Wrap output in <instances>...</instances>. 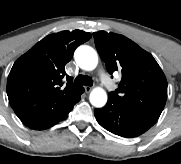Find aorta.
I'll list each match as a JSON object with an SVG mask.
<instances>
[{
	"mask_svg": "<svg viewBox=\"0 0 181 164\" xmlns=\"http://www.w3.org/2000/svg\"><path fill=\"white\" fill-rule=\"evenodd\" d=\"M74 58L77 65L86 71H92L97 67L98 55L97 52L90 46H79L75 53ZM90 103L96 107L101 108L107 102V93L101 87H95L89 96Z\"/></svg>",
	"mask_w": 181,
	"mask_h": 164,
	"instance_id": "1",
	"label": "aorta"
}]
</instances>
